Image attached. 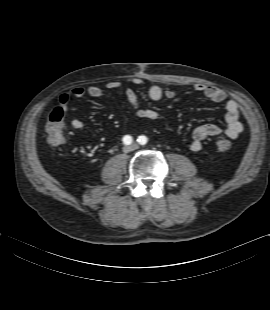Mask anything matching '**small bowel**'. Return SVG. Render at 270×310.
<instances>
[{
	"label": "small bowel",
	"mask_w": 270,
	"mask_h": 310,
	"mask_svg": "<svg viewBox=\"0 0 270 310\" xmlns=\"http://www.w3.org/2000/svg\"><path fill=\"white\" fill-rule=\"evenodd\" d=\"M130 83L133 86H141L142 80L140 78H131ZM120 89H122V85L117 81L108 82L105 85V88L95 85L88 87H74L69 92L60 95L57 107L61 108L65 113L67 112L70 100L73 98H80L84 95L93 98H101L107 94V91H118ZM194 90L213 102L224 103L227 125L225 128H221L216 124L207 123L196 127L192 134L190 149L194 152L200 151L203 140L222 133L231 139H236L243 131V124L240 121L239 104L235 100L228 98L225 91L214 86L196 84ZM124 93L131 110L138 118L151 121L159 120V113L155 109L144 108L141 106L138 95L132 87L125 88ZM174 96L175 93L173 91L163 90L160 86L155 84L150 85L148 88V97L153 101H160L164 98L172 99ZM70 125L75 130H82L85 128L84 122L79 119L72 120Z\"/></svg>",
	"instance_id": "small-bowel-1"
}]
</instances>
